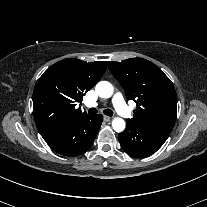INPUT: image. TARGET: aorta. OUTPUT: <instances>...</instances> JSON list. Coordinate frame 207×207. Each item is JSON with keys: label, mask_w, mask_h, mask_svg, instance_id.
Instances as JSON below:
<instances>
[{"label": "aorta", "mask_w": 207, "mask_h": 207, "mask_svg": "<svg viewBox=\"0 0 207 207\" xmlns=\"http://www.w3.org/2000/svg\"><path fill=\"white\" fill-rule=\"evenodd\" d=\"M96 91L101 98H110L113 94V86L107 81H100L96 85ZM112 127L116 132H122L125 129V121L116 117L112 121Z\"/></svg>", "instance_id": "aorta-1"}]
</instances>
